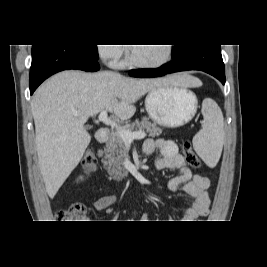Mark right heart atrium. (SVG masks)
Returning <instances> with one entry per match:
<instances>
[{"label": "right heart atrium", "mask_w": 267, "mask_h": 267, "mask_svg": "<svg viewBox=\"0 0 267 267\" xmlns=\"http://www.w3.org/2000/svg\"><path fill=\"white\" fill-rule=\"evenodd\" d=\"M98 53L111 66H118L124 55V49L119 45H100L98 46Z\"/></svg>", "instance_id": "1"}]
</instances>
